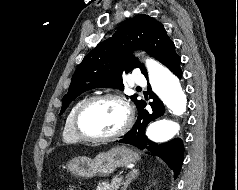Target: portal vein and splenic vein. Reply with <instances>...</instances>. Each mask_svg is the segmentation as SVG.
<instances>
[{
  "mask_svg": "<svg viewBox=\"0 0 238 190\" xmlns=\"http://www.w3.org/2000/svg\"><path fill=\"white\" fill-rule=\"evenodd\" d=\"M118 181L121 182V181H122V177H120V178L118 179Z\"/></svg>",
  "mask_w": 238,
  "mask_h": 190,
  "instance_id": "portal-vein-and-splenic-vein-1",
  "label": "portal vein and splenic vein"
}]
</instances>
